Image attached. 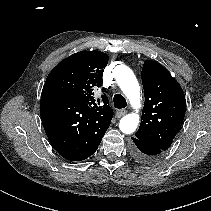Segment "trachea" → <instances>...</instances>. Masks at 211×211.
<instances>
[{"label":"trachea","instance_id":"obj_1","mask_svg":"<svg viewBox=\"0 0 211 211\" xmlns=\"http://www.w3.org/2000/svg\"><path fill=\"white\" fill-rule=\"evenodd\" d=\"M113 102L117 109H122L127 106L126 99L121 94L114 95Z\"/></svg>","mask_w":211,"mask_h":211}]
</instances>
